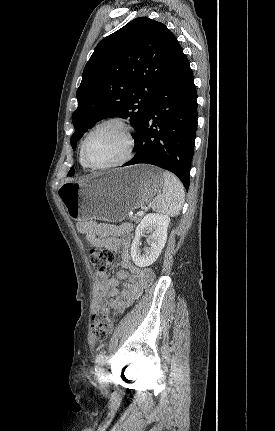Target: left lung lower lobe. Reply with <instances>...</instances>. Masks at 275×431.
Wrapping results in <instances>:
<instances>
[{
    "instance_id": "1",
    "label": "left lung lower lobe",
    "mask_w": 275,
    "mask_h": 431,
    "mask_svg": "<svg viewBox=\"0 0 275 431\" xmlns=\"http://www.w3.org/2000/svg\"><path fill=\"white\" fill-rule=\"evenodd\" d=\"M197 119L194 78L181 48L134 139L137 153L124 166L147 163L161 167L177 175L188 190Z\"/></svg>"
}]
</instances>
